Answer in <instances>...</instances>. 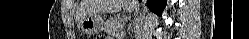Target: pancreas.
<instances>
[{
	"label": "pancreas",
	"instance_id": "obj_1",
	"mask_svg": "<svg viewBox=\"0 0 249 39\" xmlns=\"http://www.w3.org/2000/svg\"><path fill=\"white\" fill-rule=\"evenodd\" d=\"M124 19L111 17L105 22V32L109 35L118 36L123 31Z\"/></svg>",
	"mask_w": 249,
	"mask_h": 39
}]
</instances>
